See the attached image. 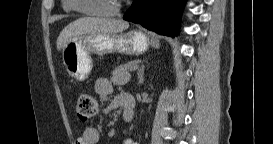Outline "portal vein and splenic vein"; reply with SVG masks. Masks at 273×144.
<instances>
[{
  "label": "portal vein and splenic vein",
  "mask_w": 273,
  "mask_h": 144,
  "mask_svg": "<svg viewBox=\"0 0 273 144\" xmlns=\"http://www.w3.org/2000/svg\"><path fill=\"white\" fill-rule=\"evenodd\" d=\"M138 69V65H134L133 67L130 68V71H136Z\"/></svg>",
  "instance_id": "1"
}]
</instances>
